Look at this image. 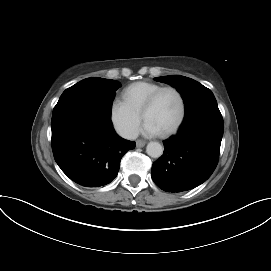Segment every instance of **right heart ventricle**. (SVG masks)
<instances>
[{"label":"right heart ventricle","instance_id":"obj_1","mask_svg":"<svg viewBox=\"0 0 271 271\" xmlns=\"http://www.w3.org/2000/svg\"><path fill=\"white\" fill-rule=\"evenodd\" d=\"M162 85L150 81H138L128 85L122 91L123 101L136 113L141 115L147 99Z\"/></svg>","mask_w":271,"mask_h":271}]
</instances>
